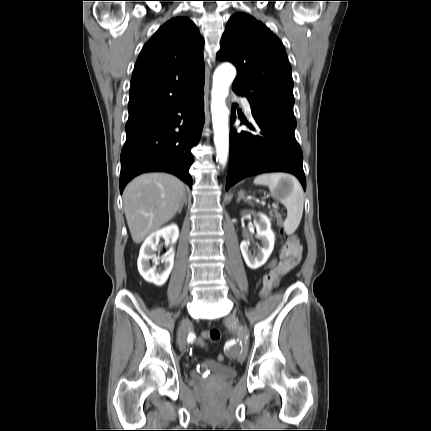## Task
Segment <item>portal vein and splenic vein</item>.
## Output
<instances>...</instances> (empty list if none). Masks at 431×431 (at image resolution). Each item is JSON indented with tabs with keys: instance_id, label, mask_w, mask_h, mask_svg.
Listing matches in <instances>:
<instances>
[{
	"instance_id": "1",
	"label": "portal vein and splenic vein",
	"mask_w": 431,
	"mask_h": 431,
	"mask_svg": "<svg viewBox=\"0 0 431 431\" xmlns=\"http://www.w3.org/2000/svg\"><path fill=\"white\" fill-rule=\"evenodd\" d=\"M261 204H262V205H264V204H265V202H264V201H262V202H261Z\"/></svg>"
}]
</instances>
